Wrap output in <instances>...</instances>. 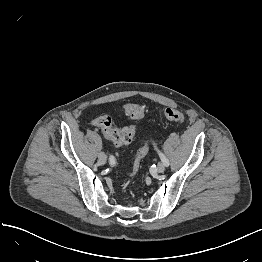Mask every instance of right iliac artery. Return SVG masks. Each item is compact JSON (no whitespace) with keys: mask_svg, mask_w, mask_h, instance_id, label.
I'll use <instances>...</instances> for the list:
<instances>
[{"mask_svg":"<svg viewBox=\"0 0 262 262\" xmlns=\"http://www.w3.org/2000/svg\"><path fill=\"white\" fill-rule=\"evenodd\" d=\"M114 163L113 158L110 159V164L112 165Z\"/></svg>","mask_w":262,"mask_h":262,"instance_id":"right-iliac-artery-1","label":"right iliac artery"}]
</instances>
